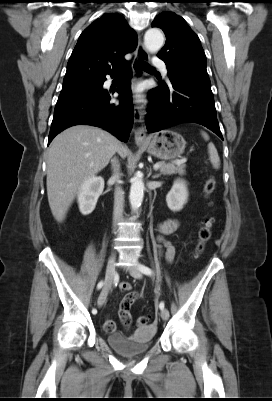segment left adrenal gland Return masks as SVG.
<instances>
[{
    "instance_id": "1",
    "label": "left adrenal gland",
    "mask_w": 272,
    "mask_h": 401,
    "mask_svg": "<svg viewBox=\"0 0 272 401\" xmlns=\"http://www.w3.org/2000/svg\"><path fill=\"white\" fill-rule=\"evenodd\" d=\"M150 173H151V170H150ZM159 177H160V174H156V175L152 176L153 179H157Z\"/></svg>"
}]
</instances>
